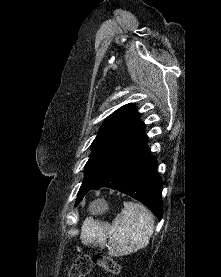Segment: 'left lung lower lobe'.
I'll return each mask as SVG.
<instances>
[{"mask_svg":"<svg viewBox=\"0 0 221 277\" xmlns=\"http://www.w3.org/2000/svg\"><path fill=\"white\" fill-rule=\"evenodd\" d=\"M108 187L139 200L147 206L161 220L162 206V179L156 172V160L150 155V149L144 147L126 165L102 181L87 186L78 195L76 205L85 194L92 189Z\"/></svg>","mask_w":221,"mask_h":277,"instance_id":"1","label":"left lung lower lobe"}]
</instances>
